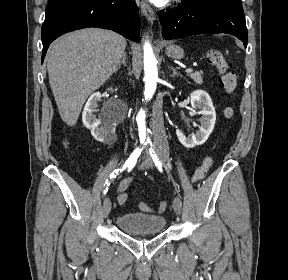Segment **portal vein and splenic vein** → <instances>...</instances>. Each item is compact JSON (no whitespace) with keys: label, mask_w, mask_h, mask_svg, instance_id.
<instances>
[{"label":"portal vein and splenic vein","mask_w":288,"mask_h":280,"mask_svg":"<svg viewBox=\"0 0 288 280\" xmlns=\"http://www.w3.org/2000/svg\"><path fill=\"white\" fill-rule=\"evenodd\" d=\"M185 71H186V73H191L193 71V69L192 68H188Z\"/></svg>","instance_id":"obj_1"}]
</instances>
